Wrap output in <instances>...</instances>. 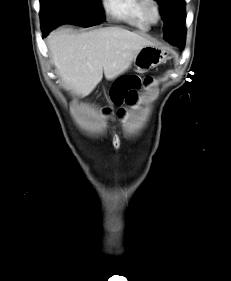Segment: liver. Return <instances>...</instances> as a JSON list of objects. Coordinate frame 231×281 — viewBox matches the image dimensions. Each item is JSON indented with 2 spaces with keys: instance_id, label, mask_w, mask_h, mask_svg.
Instances as JSON below:
<instances>
[{
  "instance_id": "liver-1",
  "label": "liver",
  "mask_w": 231,
  "mask_h": 281,
  "mask_svg": "<svg viewBox=\"0 0 231 281\" xmlns=\"http://www.w3.org/2000/svg\"><path fill=\"white\" fill-rule=\"evenodd\" d=\"M51 61L68 89L79 96L90 94L102 80H112L129 69L138 52L153 45L149 40L120 27L81 34L62 29L50 34Z\"/></svg>"
}]
</instances>
